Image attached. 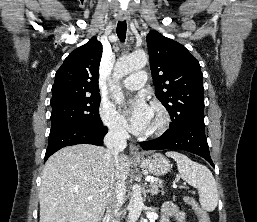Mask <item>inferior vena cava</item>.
Masks as SVG:
<instances>
[{
    "instance_id": "obj_1",
    "label": "inferior vena cava",
    "mask_w": 257,
    "mask_h": 222,
    "mask_svg": "<svg viewBox=\"0 0 257 222\" xmlns=\"http://www.w3.org/2000/svg\"><path fill=\"white\" fill-rule=\"evenodd\" d=\"M128 137L127 131L117 123L109 126L108 133L104 137V144L106 145L105 157L112 167V172L115 174H117L119 153L126 148ZM125 193L126 188L124 182L117 178L107 207L111 222H120V209Z\"/></svg>"
}]
</instances>
